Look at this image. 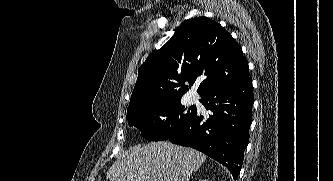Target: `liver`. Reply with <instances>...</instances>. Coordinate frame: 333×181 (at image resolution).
<instances>
[{
  "instance_id": "liver-1",
  "label": "liver",
  "mask_w": 333,
  "mask_h": 181,
  "mask_svg": "<svg viewBox=\"0 0 333 181\" xmlns=\"http://www.w3.org/2000/svg\"><path fill=\"white\" fill-rule=\"evenodd\" d=\"M206 161V155L170 142L134 146L108 172L109 181H189Z\"/></svg>"
}]
</instances>
